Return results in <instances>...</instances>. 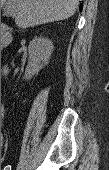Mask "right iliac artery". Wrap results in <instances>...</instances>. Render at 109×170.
<instances>
[{
  "label": "right iliac artery",
  "mask_w": 109,
  "mask_h": 170,
  "mask_svg": "<svg viewBox=\"0 0 109 170\" xmlns=\"http://www.w3.org/2000/svg\"><path fill=\"white\" fill-rule=\"evenodd\" d=\"M4 170H11V165H7Z\"/></svg>",
  "instance_id": "1"
}]
</instances>
